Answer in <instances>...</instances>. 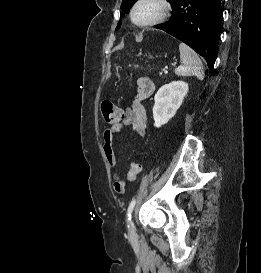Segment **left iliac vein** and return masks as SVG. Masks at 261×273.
<instances>
[{"label":"left iliac vein","instance_id":"obj_1","mask_svg":"<svg viewBox=\"0 0 261 273\" xmlns=\"http://www.w3.org/2000/svg\"><path fill=\"white\" fill-rule=\"evenodd\" d=\"M129 233H130V235H135V227H134L132 221H130V223H129Z\"/></svg>","mask_w":261,"mask_h":273}]
</instances>
